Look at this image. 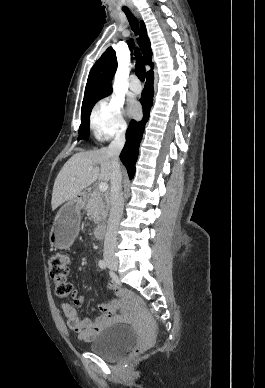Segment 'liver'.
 Here are the masks:
<instances>
[{"label": "liver", "mask_w": 265, "mask_h": 388, "mask_svg": "<svg viewBox=\"0 0 265 388\" xmlns=\"http://www.w3.org/2000/svg\"><path fill=\"white\" fill-rule=\"evenodd\" d=\"M107 152V148L80 152V154H74L64 164L53 186L51 200L53 212L64 202L77 198L84 188L91 186L96 180H101V182L111 180V160L108 158ZM98 164H100V168L88 170L89 166H98ZM72 178H76V180H72Z\"/></svg>", "instance_id": "obj_1"}]
</instances>
